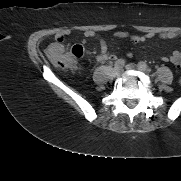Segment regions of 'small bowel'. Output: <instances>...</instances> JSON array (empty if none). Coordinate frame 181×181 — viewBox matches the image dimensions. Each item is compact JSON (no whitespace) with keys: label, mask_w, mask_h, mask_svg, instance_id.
<instances>
[{"label":"small bowel","mask_w":181,"mask_h":181,"mask_svg":"<svg viewBox=\"0 0 181 181\" xmlns=\"http://www.w3.org/2000/svg\"><path fill=\"white\" fill-rule=\"evenodd\" d=\"M66 35H67L66 32H60L59 34H57L56 41H57L58 46H61V43L63 42L64 37ZM84 36L87 38H97L99 40L101 53H100V55L97 56L98 61L112 60L115 58V56L108 51L106 42L102 38L98 37L95 32L86 31L84 33ZM115 36L118 38H129L133 44H139V43L146 42L147 40L152 38L153 34L147 33L144 35H131L126 31H119V32L115 33ZM180 36H181L180 33H177V32H167V33H162L159 35V37L162 39H174V38H178ZM163 60H165V61L169 60L175 66L181 67V52L174 51L169 56V58L165 57V58H163Z\"/></svg>","instance_id":"c3829d8e"}]
</instances>
